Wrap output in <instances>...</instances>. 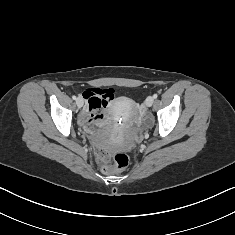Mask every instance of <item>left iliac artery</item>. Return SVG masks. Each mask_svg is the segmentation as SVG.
Listing matches in <instances>:
<instances>
[{
  "mask_svg": "<svg viewBox=\"0 0 235 235\" xmlns=\"http://www.w3.org/2000/svg\"><path fill=\"white\" fill-rule=\"evenodd\" d=\"M157 97H158V95H157V94H154V95H153V98H154V99H156Z\"/></svg>",
  "mask_w": 235,
  "mask_h": 235,
  "instance_id": "1",
  "label": "left iliac artery"
}]
</instances>
